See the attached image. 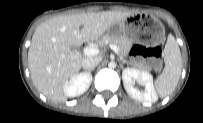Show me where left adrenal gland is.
Masks as SVG:
<instances>
[{
  "label": "left adrenal gland",
  "instance_id": "obj_1",
  "mask_svg": "<svg viewBox=\"0 0 203 123\" xmlns=\"http://www.w3.org/2000/svg\"><path fill=\"white\" fill-rule=\"evenodd\" d=\"M120 60H122V64L127 63L126 60H124V59H122V58H120ZM127 64H128V63H127Z\"/></svg>",
  "mask_w": 203,
  "mask_h": 123
}]
</instances>
